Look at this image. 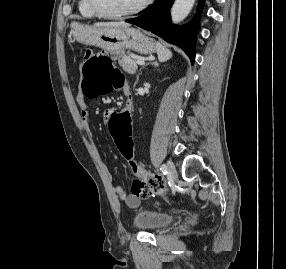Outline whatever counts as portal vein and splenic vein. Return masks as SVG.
Here are the masks:
<instances>
[{
	"instance_id": "18ae733b",
	"label": "portal vein and splenic vein",
	"mask_w": 286,
	"mask_h": 269,
	"mask_svg": "<svg viewBox=\"0 0 286 269\" xmlns=\"http://www.w3.org/2000/svg\"><path fill=\"white\" fill-rule=\"evenodd\" d=\"M137 64H138V65H144V64H145V62H144V60L139 59V60H137Z\"/></svg>"
}]
</instances>
